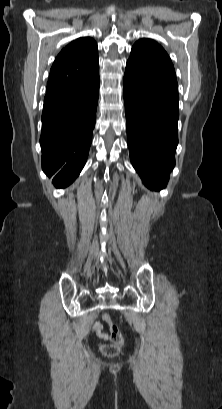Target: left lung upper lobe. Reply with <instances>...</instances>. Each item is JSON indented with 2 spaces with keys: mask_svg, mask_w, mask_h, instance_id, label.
<instances>
[{
  "mask_svg": "<svg viewBox=\"0 0 222 409\" xmlns=\"http://www.w3.org/2000/svg\"><path fill=\"white\" fill-rule=\"evenodd\" d=\"M125 74L161 86L178 95L174 66L165 50L151 39H141L133 45Z\"/></svg>",
  "mask_w": 222,
  "mask_h": 409,
  "instance_id": "1",
  "label": "left lung upper lobe"
}]
</instances>
